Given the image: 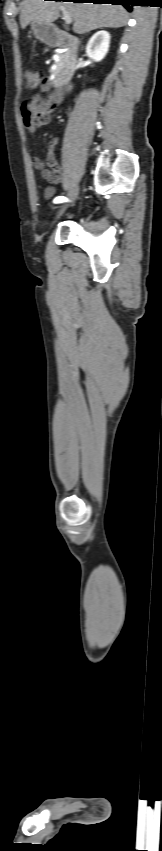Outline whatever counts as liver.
<instances>
[{
  "instance_id": "1",
  "label": "liver",
  "mask_w": 162,
  "mask_h": 851,
  "mask_svg": "<svg viewBox=\"0 0 162 851\" xmlns=\"http://www.w3.org/2000/svg\"><path fill=\"white\" fill-rule=\"evenodd\" d=\"M60 7H64L72 17L73 31L78 34L99 28L123 27L128 21V13L121 5L23 0L20 13L21 27L24 29L32 22L51 25L58 19Z\"/></svg>"
}]
</instances>
